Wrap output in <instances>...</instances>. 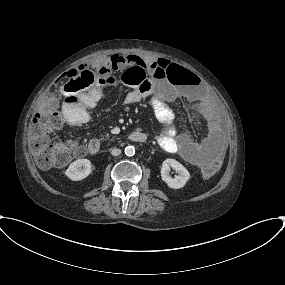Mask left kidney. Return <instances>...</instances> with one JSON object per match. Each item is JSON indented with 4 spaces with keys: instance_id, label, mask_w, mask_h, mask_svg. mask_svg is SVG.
Segmentation results:
<instances>
[{
    "instance_id": "left-kidney-1",
    "label": "left kidney",
    "mask_w": 285,
    "mask_h": 285,
    "mask_svg": "<svg viewBox=\"0 0 285 285\" xmlns=\"http://www.w3.org/2000/svg\"><path fill=\"white\" fill-rule=\"evenodd\" d=\"M170 167L178 172L175 178H172L169 174ZM190 174L188 170L175 159H166L162 163L161 178L172 189H180L184 187L189 180Z\"/></svg>"
}]
</instances>
